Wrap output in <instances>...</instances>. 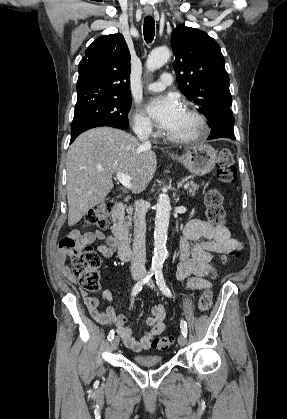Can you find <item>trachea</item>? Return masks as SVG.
Instances as JSON below:
<instances>
[{"mask_svg": "<svg viewBox=\"0 0 287 419\" xmlns=\"http://www.w3.org/2000/svg\"><path fill=\"white\" fill-rule=\"evenodd\" d=\"M144 39L147 43H151L155 34V21L152 16H146L143 25Z\"/></svg>", "mask_w": 287, "mask_h": 419, "instance_id": "trachea-1", "label": "trachea"}]
</instances>
